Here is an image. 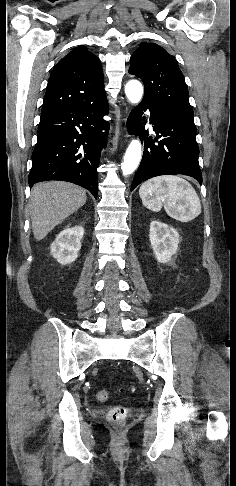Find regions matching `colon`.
<instances>
[{
	"label": "colon",
	"instance_id": "5ec220e1",
	"mask_svg": "<svg viewBox=\"0 0 236 486\" xmlns=\"http://www.w3.org/2000/svg\"><path fill=\"white\" fill-rule=\"evenodd\" d=\"M96 398L100 402H105L108 399V392L100 390L96 394ZM126 418V409L123 406H115L108 413L109 421L115 426H121Z\"/></svg>",
	"mask_w": 236,
	"mask_h": 486
}]
</instances>
